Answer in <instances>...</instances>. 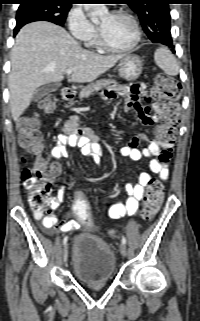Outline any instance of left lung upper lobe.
Instances as JSON below:
<instances>
[{
	"mask_svg": "<svg viewBox=\"0 0 200 321\" xmlns=\"http://www.w3.org/2000/svg\"><path fill=\"white\" fill-rule=\"evenodd\" d=\"M137 14L140 24L148 38L154 43L172 41L171 0H124Z\"/></svg>",
	"mask_w": 200,
	"mask_h": 321,
	"instance_id": "obj_1",
	"label": "left lung upper lobe"
}]
</instances>
